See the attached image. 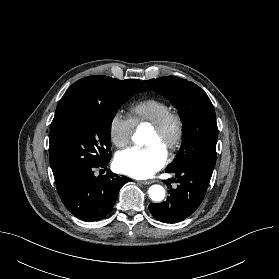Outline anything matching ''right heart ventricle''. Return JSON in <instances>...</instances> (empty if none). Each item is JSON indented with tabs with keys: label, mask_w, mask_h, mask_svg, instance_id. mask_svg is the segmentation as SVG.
<instances>
[{
	"label": "right heart ventricle",
	"mask_w": 279,
	"mask_h": 279,
	"mask_svg": "<svg viewBox=\"0 0 279 279\" xmlns=\"http://www.w3.org/2000/svg\"><path fill=\"white\" fill-rule=\"evenodd\" d=\"M171 107L161 99L149 98L142 100L130 108V116L135 126L154 125Z\"/></svg>",
	"instance_id": "1"
}]
</instances>
